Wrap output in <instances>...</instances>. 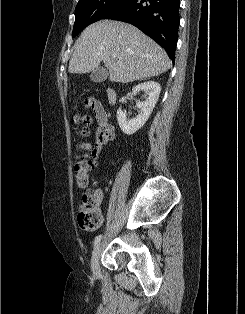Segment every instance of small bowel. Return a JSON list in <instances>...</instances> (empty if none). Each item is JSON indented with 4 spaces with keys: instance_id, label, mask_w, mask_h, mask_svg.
<instances>
[{
    "instance_id": "1",
    "label": "small bowel",
    "mask_w": 245,
    "mask_h": 314,
    "mask_svg": "<svg viewBox=\"0 0 245 314\" xmlns=\"http://www.w3.org/2000/svg\"><path fill=\"white\" fill-rule=\"evenodd\" d=\"M90 103L86 106L92 110L97 122L95 133V144L92 149L93 159L96 160L105 146L115 139V128L110 121V115L104 109L102 103L94 98H90ZM102 196L100 195V201Z\"/></svg>"
}]
</instances>
